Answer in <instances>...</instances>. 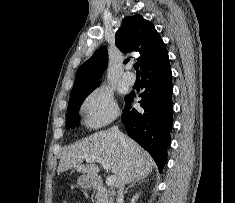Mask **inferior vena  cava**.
I'll list each match as a JSON object with an SVG mask.
<instances>
[{
    "mask_svg": "<svg viewBox=\"0 0 235 203\" xmlns=\"http://www.w3.org/2000/svg\"><path fill=\"white\" fill-rule=\"evenodd\" d=\"M112 131L117 134L121 140L124 139L123 134L119 131L118 127H113ZM123 191H124V184L120 185L118 188V194L116 198V203H123Z\"/></svg>",
    "mask_w": 235,
    "mask_h": 203,
    "instance_id": "obj_1",
    "label": "inferior vena cava"
}]
</instances>
